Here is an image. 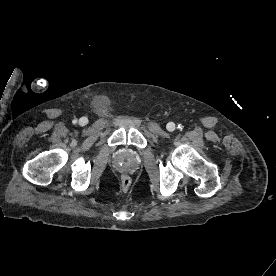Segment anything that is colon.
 I'll return each instance as SVG.
<instances>
[{"label":"colon","instance_id":"obj_1","mask_svg":"<svg viewBox=\"0 0 276 276\" xmlns=\"http://www.w3.org/2000/svg\"><path fill=\"white\" fill-rule=\"evenodd\" d=\"M131 179L127 175H123L120 179V186L122 190L126 191L130 188Z\"/></svg>","mask_w":276,"mask_h":276}]
</instances>
